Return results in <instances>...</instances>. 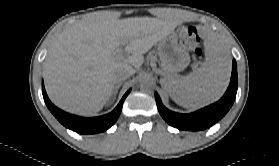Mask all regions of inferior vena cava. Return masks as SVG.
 <instances>
[{"label":"inferior vena cava","mask_w":279,"mask_h":166,"mask_svg":"<svg viewBox=\"0 0 279 166\" xmlns=\"http://www.w3.org/2000/svg\"><path fill=\"white\" fill-rule=\"evenodd\" d=\"M135 73V69L127 66L118 69L115 74H114V79L117 83H121L122 81H125L128 79L130 76H132Z\"/></svg>","instance_id":"obj_1"}]
</instances>
